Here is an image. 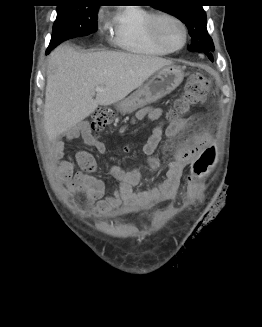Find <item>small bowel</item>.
Wrapping results in <instances>:
<instances>
[{
	"mask_svg": "<svg viewBox=\"0 0 262 327\" xmlns=\"http://www.w3.org/2000/svg\"><path fill=\"white\" fill-rule=\"evenodd\" d=\"M162 115L161 108L147 107L137 111L130 123L142 119L155 121ZM186 125V119H179L170 122L166 127L154 128L142 147V152L148 157V171L154 172L160 166L156 150L163 136L174 138L185 129ZM126 129L127 125L121 128V133ZM75 137H81L88 146L94 147L100 154L106 152L105 144L92 135L90 126L85 122L71 129L65 139L71 140ZM208 142L209 138L205 134L186 138L177 147L175 157L169 163L165 177L156 186L140 191H135L134 188L142 180L145 173L143 169L112 165L110 173L118 185L113 188L110 195L104 196L105 183L93 175L96 169L95 159L84 150L78 151L74 158L62 159L63 150L56 149L54 152V159L58 163L56 175L60 181L66 183L69 194H83L88 209L97 215L115 216L134 213L159 202L174 199L187 165H209L197 164L195 159L196 153H206ZM76 165L80 168L79 172H75ZM186 179L194 180L195 174L187 173ZM185 187L188 199H193V206H206L204 194L197 192L196 183H186Z\"/></svg>",
	"mask_w": 262,
	"mask_h": 327,
	"instance_id": "small-bowel-1",
	"label": "small bowel"
}]
</instances>
